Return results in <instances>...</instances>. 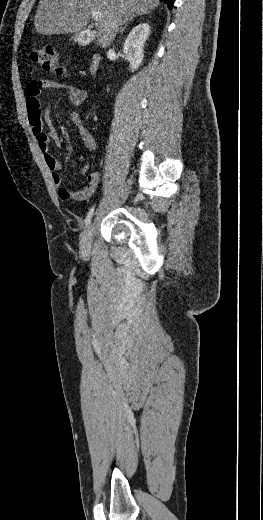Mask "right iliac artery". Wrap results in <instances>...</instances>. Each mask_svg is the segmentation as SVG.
I'll list each match as a JSON object with an SVG mask.
<instances>
[{"mask_svg": "<svg viewBox=\"0 0 263 520\" xmlns=\"http://www.w3.org/2000/svg\"><path fill=\"white\" fill-rule=\"evenodd\" d=\"M94 207H95V206H93V207L89 210V212H88V214H87V216H86V219H85V226H86V227H88V225L90 224L91 218H92V216H93V214H94Z\"/></svg>", "mask_w": 263, "mask_h": 520, "instance_id": "obj_1", "label": "right iliac artery"}]
</instances>
